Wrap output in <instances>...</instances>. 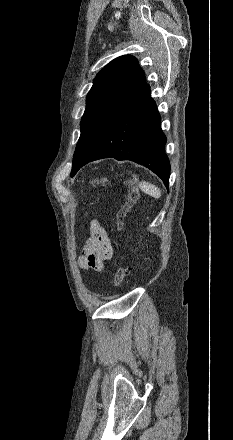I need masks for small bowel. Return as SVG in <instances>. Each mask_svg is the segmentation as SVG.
<instances>
[{
	"label": "small bowel",
	"mask_w": 233,
	"mask_h": 440,
	"mask_svg": "<svg viewBox=\"0 0 233 440\" xmlns=\"http://www.w3.org/2000/svg\"><path fill=\"white\" fill-rule=\"evenodd\" d=\"M113 256V246L106 228L97 220L90 223V235L84 243L78 263L82 269L101 271Z\"/></svg>",
	"instance_id": "c3829d8e"
}]
</instances>
